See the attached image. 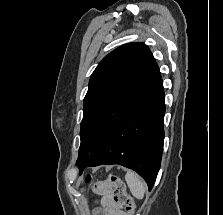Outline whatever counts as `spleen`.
Segmentation results:
<instances>
[{"mask_svg":"<svg viewBox=\"0 0 223 215\" xmlns=\"http://www.w3.org/2000/svg\"><path fill=\"white\" fill-rule=\"evenodd\" d=\"M125 179L128 183V187H130L132 195L137 197V199H142L146 191L144 181H142V179H140V177H138L137 173H134V171H127Z\"/></svg>","mask_w":223,"mask_h":215,"instance_id":"1","label":"spleen"}]
</instances>
